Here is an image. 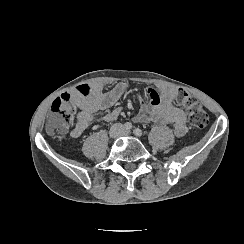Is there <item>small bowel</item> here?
<instances>
[{"instance_id":"1","label":"small bowel","mask_w":244,"mask_h":244,"mask_svg":"<svg viewBox=\"0 0 244 244\" xmlns=\"http://www.w3.org/2000/svg\"><path fill=\"white\" fill-rule=\"evenodd\" d=\"M106 82L98 81L86 84L72 90L69 95L78 108L77 119L71 130L73 137H78L95 121L111 123L116 121L121 113L119 108L98 117V113L112 107L126 94L132 92L125 82L117 83L111 90L105 92ZM177 90L170 86H160L158 89H148L135 93L140 108L134 120L141 123H155L161 127H172L173 134L182 138L188 133L185 112L176 107L173 99Z\"/></svg>"}]
</instances>
